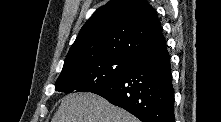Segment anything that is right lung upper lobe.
I'll use <instances>...</instances> for the list:
<instances>
[{
    "label": "right lung upper lobe",
    "instance_id": "obj_1",
    "mask_svg": "<svg viewBox=\"0 0 221 122\" xmlns=\"http://www.w3.org/2000/svg\"><path fill=\"white\" fill-rule=\"evenodd\" d=\"M162 38L157 14L145 0H111L97 9L82 27L63 70L103 56L134 59Z\"/></svg>",
    "mask_w": 221,
    "mask_h": 122
}]
</instances>
